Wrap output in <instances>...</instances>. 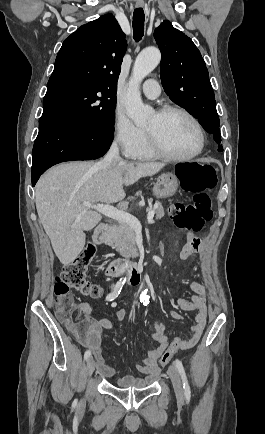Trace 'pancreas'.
I'll return each instance as SVG.
<instances>
[{"mask_svg":"<svg viewBox=\"0 0 265 434\" xmlns=\"http://www.w3.org/2000/svg\"><path fill=\"white\" fill-rule=\"evenodd\" d=\"M156 204L157 208H154V214H156V220H160V218H164V210L160 202H156ZM147 210H150V208H147ZM105 244L110 246L112 250H117V252L124 248L130 256L136 248L135 230L129 224L118 222L116 226H111L109 234L105 238Z\"/></svg>","mask_w":265,"mask_h":434,"instance_id":"obj_1","label":"pancreas"}]
</instances>
